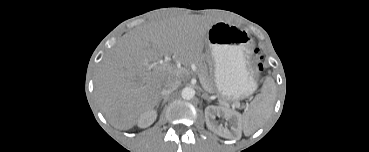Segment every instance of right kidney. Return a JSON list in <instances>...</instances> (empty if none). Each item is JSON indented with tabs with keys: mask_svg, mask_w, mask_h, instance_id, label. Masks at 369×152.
<instances>
[{
	"mask_svg": "<svg viewBox=\"0 0 369 152\" xmlns=\"http://www.w3.org/2000/svg\"><path fill=\"white\" fill-rule=\"evenodd\" d=\"M157 118V111L150 110L140 116L137 122L139 128H147L154 123Z\"/></svg>",
	"mask_w": 369,
	"mask_h": 152,
	"instance_id": "1",
	"label": "right kidney"
}]
</instances>
